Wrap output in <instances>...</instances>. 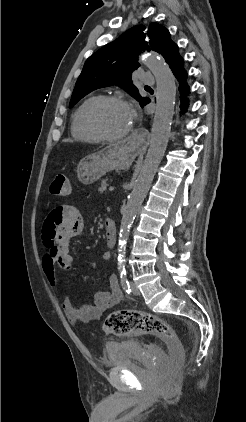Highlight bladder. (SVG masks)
Segmentation results:
<instances>
[{"instance_id":"1","label":"bladder","mask_w":246,"mask_h":422,"mask_svg":"<svg viewBox=\"0 0 246 422\" xmlns=\"http://www.w3.org/2000/svg\"><path fill=\"white\" fill-rule=\"evenodd\" d=\"M105 350L109 366L126 368L137 362L142 352V346L136 339H124L107 343ZM152 356L158 367H166L168 358L163 350L152 349Z\"/></svg>"}]
</instances>
